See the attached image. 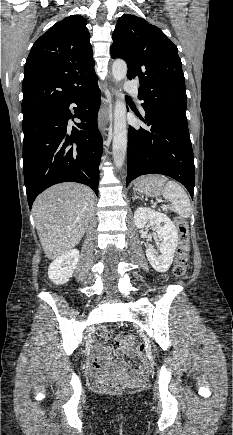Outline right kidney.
<instances>
[{"label": "right kidney", "instance_id": "right-kidney-1", "mask_svg": "<svg viewBox=\"0 0 233 435\" xmlns=\"http://www.w3.org/2000/svg\"><path fill=\"white\" fill-rule=\"evenodd\" d=\"M79 260V251L71 249L57 257L49 266L48 277L56 285L69 281Z\"/></svg>", "mask_w": 233, "mask_h": 435}]
</instances>
